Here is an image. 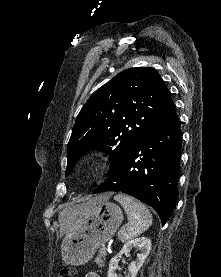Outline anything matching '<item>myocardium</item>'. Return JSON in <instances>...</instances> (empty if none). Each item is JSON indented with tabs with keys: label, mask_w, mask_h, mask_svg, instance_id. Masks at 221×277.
Returning <instances> with one entry per match:
<instances>
[{
	"label": "myocardium",
	"mask_w": 221,
	"mask_h": 277,
	"mask_svg": "<svg viewBox=\"0 0 221 277\" xmlns=\"http://www.w3.org/2000/svg\"><path fill=\"white\" fill-rule=\"evenodd\" d=\"M97 164H98V161L97 160H93V161L88 163L87 168L88 169H93Z\"/></svg>",
	"instance_id": "myocardium-1"
}]
</instances>
